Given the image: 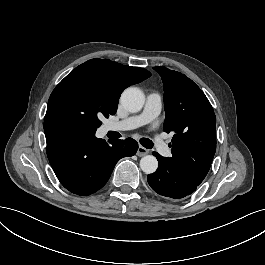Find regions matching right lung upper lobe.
Listing matches in <instances>:
<instances>
[{
  "label": "right lung upper lobe",
  "mask_w": 265,
  "mask_h": 265,
  "mask_svg": "<svg viewBox=\"0 0 265 265\" xmlns=\"http://www.w3.org/2000/svg\"><path fill=\"white\" fill-rule=\"evenodd\" d=\"M83 66L98 70L108 81L112 93L119 97L128 86L140 83L151 76L145 69L125 66L108 59H91L80 65Z\"/></svg>",
  "instance_id": "1"
}]
</instances>
